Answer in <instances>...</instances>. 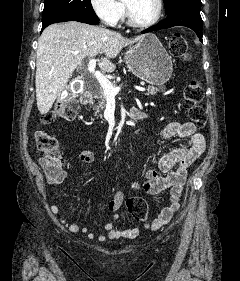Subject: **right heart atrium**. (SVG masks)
I'll use <instances>...</instances> for the list:
<instances>
[{
  "label": "right heart atrium",
  "instance_id": "right-heart-atrium-1",
  "mask_svg": "<svg viewBox=\"0 0 240 281\" xmlns=\"http://www.w3.org/2000/svg\"><path fill=\"white\" fill-rule=\"evenodd\" d=\"M95 15L108 25L117 24L124 15V6L119 0H89Z\"/></svg>",
  "mask_w": 240,
  "mask_h": 281
}]
</instances>
